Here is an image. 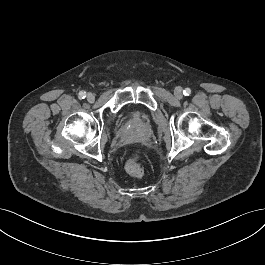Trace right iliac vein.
<instances>
[{
  "instance_id": "obj_1",
  "label": "right iliac vein",
  "mask_w": 265,
  "mask_h": 265,
  "mask_svg": "<svg viewBox=\"0 0 265 265\" xmlns=\"http://www.w3.org/2000/svg\"><path fill=\"white\" fill-rule=\"evenodd\" d=\"M86 98L88 102L92 103L95 100V95L93 93H88Z\"/></svg>"
}]
</instances>
